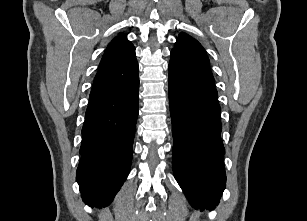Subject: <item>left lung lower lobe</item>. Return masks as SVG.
<instances>
[{"instance_id": "obj_1", "label": "left lung lower lobe", "mask_w": 307, "mask_h": 221, "mask_svg": "<svg viewBox=\"0 0 307 221\" xmlns=\"http://www.w3.org/2000/svg\"><path fill=\"white\" fill-rule=\"evenodd\" d=\"M168 87L174 176L194 208H215L226 174L214 80L171 52Z\"/></svg>"}]
</instances>
